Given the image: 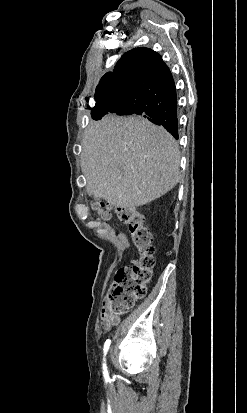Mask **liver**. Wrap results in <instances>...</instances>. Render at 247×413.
<instances>
[{
    "label": "liver",
    "instance_id": "1",
    "mask_svg": "<svg viewBox=\"0 0 247 413\" xmlns=\"http://www.w3.org/2000/svg\"><path fill=\"white\" fill-rule=\"evenodd\" d=\"M178 144L164 126L138 116L91 120L82 140L87 194L129 209L159 198L179 182Z\"/></svg>",
    "mask_w": 247,
    "mask_h": 413
}]
</instances>
